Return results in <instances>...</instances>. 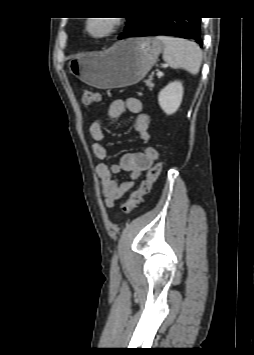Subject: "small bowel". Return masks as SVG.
<instances>
[{
	"label": "small bowel",
	"mask_w": 254,
	"mask_h": 355,
	"mask_svg": "<svg viewBox=\"0 0 254 355\" xmlns=\"http://www.w3.org/2000/svg\"><path fill=\"white\" fill-rule=\"evenodd\" d=\"M136 116L134 130L137 137L144 143L149 142L150 118L143 113V104L137 98L116 99L112 101L108 108V118L110 120L120 117L124 112ZM90 136L93 140L92 151L101 162L96 166V173L101 181L102 194L105 199V206L112 208L116 200L122 198L135 185L142 173L148 170L158 159L159 153L154 147H146L140 152L125 153L120 157L118 163L108 164V150L105 146V133L100 121H94L89 128ZM120 171L129 173V179L119 181L115 176Z\"/></svg>",
	"instance_id": "c3829d8e"
}]
</instances>
